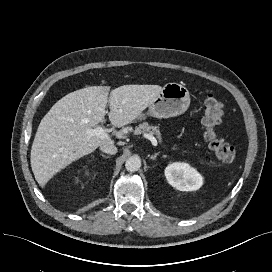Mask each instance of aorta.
<instances>
[{"mask_svg":"<svg viewBox=\"0 0 272 272\" xmlns=\"http://www.w3.org/2000/svg\"><path fill=\"white\" fill-rule=\"evenodd\" d=\"M141 167V159L138 156H131L125 162V168L129 172L138 171Z\"/></svg>","mask_w":272,"mask_h":272,"instance_id":"obj_1","label":"aorta"}]
</instances>
